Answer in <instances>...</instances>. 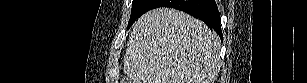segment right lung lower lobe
Returning <instances> with one entry per match:
<instances>
[{"label": "right lung lower lobe", "instance_id": "98d812e1", "mask_svg": "<svg viewBox=\"0 0 307 83\" xmlns=\"http://www.w3.org/2000/svg\"><path fill=\"white\" fill-rule=\"evenodd\" d=\"M162 6L179 9L201 19L222 38L220 13L214 0H153L150 9Z\"/></svg>", "mask_w": 307, "mask_h": 83}]
</instances>
